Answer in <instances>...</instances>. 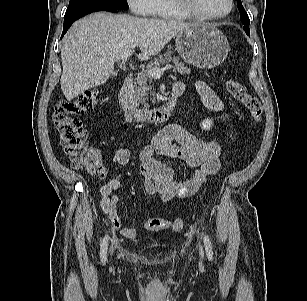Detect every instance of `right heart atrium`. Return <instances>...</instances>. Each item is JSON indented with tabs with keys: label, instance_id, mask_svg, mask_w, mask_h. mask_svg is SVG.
Here are the masks:
<instances>
[{
	"label": "right heart atrium",
	"instance_id": "1",
	"mask_svg": "<svg viewBox=\"0 0 307 301\" xmlns=\"http://www.w3.org/2000/svg\"><path fill=\"white\" fill-rule=\"evenodd\" d=\"M133 13L152 16L157 10V0H126Z\"/></svg>",
	"mask_w": 307,
	"mask_h": 301
}]
</instances>
